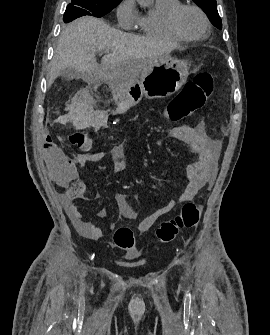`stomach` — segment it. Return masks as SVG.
<instances>
[{"label":"stomach","mask_w":270,"mask_h":335,"mask_svg":"<svg viewBox=\"0 0 270 335\" xmlns=\"http://www.w3.org/2000/svg\"><path fill=\"white\" fill-rule=\"evenodd\" d=\"M190 66L188 60H177L172 56L151 58L147 60L140 80H122L119 88L121 98L131 108L139 104L143 96L148 100L172 96L185 84Z\"/></svg>","instance_id":"stomach-1"}]
</instances>
